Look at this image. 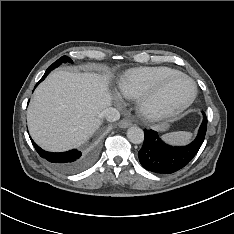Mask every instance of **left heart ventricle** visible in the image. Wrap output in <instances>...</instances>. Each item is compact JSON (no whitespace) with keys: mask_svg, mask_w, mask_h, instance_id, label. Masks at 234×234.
<instances>
[{"mask_svg":"<svg viewBox=\"0 0 234 234\" xmlns=\"http://www.w3.org/2000/svg\"><path fill=\"white\" fill-rule=\"evenodd\" d=\"M192 93V85L183 78L173 80L159 95L158 102L162 104H179Z\"/></svg>","mask_w":234,"mask_h":234,"instance_id":"1","label":"left heart ventricle"}]
</instances>
